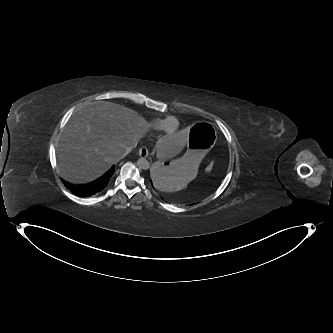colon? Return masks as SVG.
Here are the masks:
<instances>
[{
  "instance_id": "1",
  "label": "colon",
  "mask_w": 333,
  "mask_h": 333,
  "mask_svg": "<svg viewBox=\"0 0 333 333\" xmlns=\"http://www.w3.org/2000/svg\"><path fill=\"white\" fill-rule=\"evenodd\" d=\"M212 167V164L209 165V167L207 168L208 170Z\"/></svg>"
}]
</instances>
